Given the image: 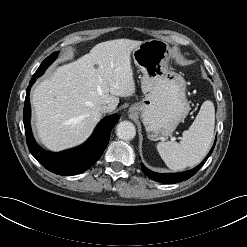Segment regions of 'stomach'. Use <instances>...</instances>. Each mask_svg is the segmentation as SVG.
Segmentation results:
<instances>
[{
    "label": "stomach",
    "mask_w": 247,
    "mask_h": 247,
    "mask_svg": "<svg viewBox=\"0 0 247 247\" xmlns=\"http://www.w3.org/2000/svg\"><path fill=\"white\" fill-rule=\"evenodd\" d=\"M170 54V45L160 39L143 41L133 50L134 63L143 73L144 98L130 112L141 117L151 140L173 133L191 109L185 79L169 68Z\"/></svg>",
    "instance_id": "0dacf381"
}]
</instances>
